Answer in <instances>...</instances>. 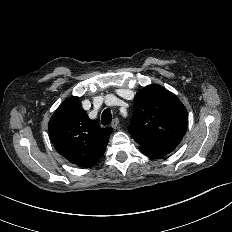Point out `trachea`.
Instances as JSON below:
<instances>
[{
  "instance_id": "3493384b",
  "label": "trachea",
  "mask_w": 232,
  "mask_h": 232,
  "mask_svg": "<svg viewBox=\"0 0 232 232\" xmlns=\"http://www.w3.org/2000/svg\"><path fill=\"white\" fill-rule=\"evenodd\" d=\"M112 121V114H111V111L110 109H105L102 113V116H101V122H102V125L106 126V125H109Z\"/></svg>"
}]
</instances>
